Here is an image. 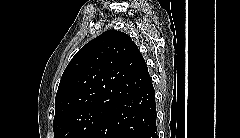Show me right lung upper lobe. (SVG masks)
<instances>
[{"label":"right lung upper lobe","mask_w":240,"mask_h":138,"mask_svg":"<svg viewBox=\"0 0 240 138\" xmlns=\"http://www.w3.org/2000/svg\"><path fill=\"white\" fill-rule=\"evenodd\" d=\"M151 84L138 47L108 30L83 46L66 67L55 98L54 120L91 108L108 110Z\"/></svg>","instance_id":"obj_1"}]
</instances>
